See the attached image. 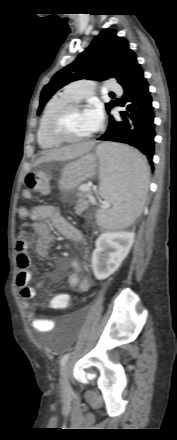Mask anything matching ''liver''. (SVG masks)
I'll return each instance as SVG.
<instances>
[{"instance_id":"obj_1","label":"liver","mask_w":177,"mask_h":440,"mask_svg":"<svg viewBox=\"0 0 177 440\" xmlns=\"http://www.w3.org/2000/svg\"><path fill=\"white\" fill-rule=\"evenodd\" d=\"M94 145V142L88 141L50 150L35 162V166L43 162L66 161L80 157L88 153L94 147Z\"/></svg>"}]
</instances>
